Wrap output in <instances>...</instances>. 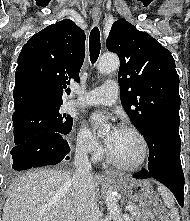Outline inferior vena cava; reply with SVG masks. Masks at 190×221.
Wrapping results in <instances>:
<instances>
[{"label":"inferior vena cava","instance_id":"602c4592","mask_svg":"<svg viewBox=\"0 0 190 221\" xmlns=\"http://www.w3.org/2000/svg\"><path fill=\"white\" fill-rule=\"evenodd\" d=\"M73 187L77 195L76 221H98L99 208L93 187L88 147L78 142L74 158Z\"/></svg>","mask_w":190,"mask_h":221}]
</instances>
